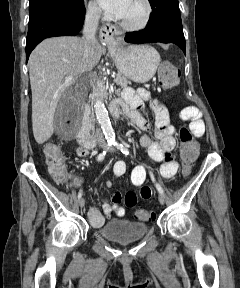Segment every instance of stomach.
<instances>
[{"mask_svg":"<svg viewBox=\"0 0 240 288\" xmlns=\"http://www.w3.org/2000/svg\"><path fill=\"white\" fill-rule=\"evenodd\" d=\"M109 53L119 72L126 78L145 83L156 73L160 55L149 45H129L117 41L109 46Z\"/></svg>","mask_w":240,"mask_h":288,"instance_id":"stomach-1","label":"stomach"}]
</instances>
